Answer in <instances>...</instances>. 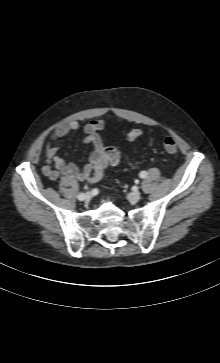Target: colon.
<instances>
[{
    "label": "colon",
    "instance_id": "5ec220e1",
    "mask_svg": "<svg viewBox=\"0 0 220 363\" xmlns=\"http://www.w3.org/2000/svg\"><path fill=\"white\" fill-rule=\"evenodd\" d=\"M142 135L140 129H134L128 134V139L130 141H135ZM165 150L168 153H175L177 151V143L171 138L167 137L163 141ZM103 161L106 166H116L120 161V153L116 147H107L103 151ZM103 168H97L92 175L93 180H99L103 175Z\"/></svg>",
    "mask_w": 220,
    "mask_h": 363
}]
</instances>
